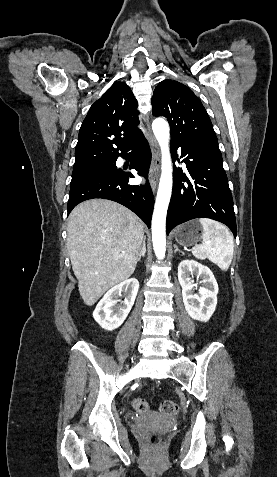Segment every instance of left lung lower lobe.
I'll use <instances>...</instances> for the list:
<instances>
[{"label": "left lung lower lobe", "instance_id": "obj_1", "mask_svg": "<svg viewBox=\"0 0 277 477\" xmlns=\"http://www.w3.org/2000/svg\"><path fill=\"white\" fill-rule=\"evenodd\" d=\"M181 147L187 175L176 168L168 208L167 234L194 218H210L226 224L236 238V219L222 155L215 140L172 139V150Z\"/></svg>", "mask_w": 277, "mask_h": 477}]
</instances>
